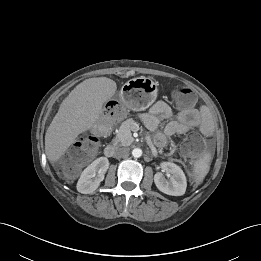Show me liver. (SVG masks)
Masks as SVG:
<instances>
[{"instance_id": "6515ba94", "label": "liver", "mask_w": 261, "mask_h": 261, "mask_svg": "<svg viewBox=\"0 0 261 261\" xmlns=\"http://www.w3.org/2000/svg\"><path fill=\"white\" fill-rule=\"evenodd\" d=\"M116 90L115 81L98 77L84 80L70 92L46 131L45 153L51 163L66 153L79 134L93 127Z\"/></svg>"}]
</instances>
